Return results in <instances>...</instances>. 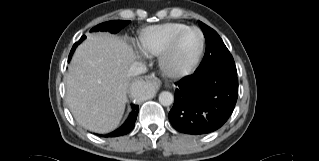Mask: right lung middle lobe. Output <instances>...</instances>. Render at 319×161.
Segmentation results:
<instances>
[{
	"label": "right lung middle lobe",
	"instance_id": "obj_1",
	"mask_svg": "<svg viewBox=\"0 0 319 161\" xmlns=\"http://www.w3.org/2000/svg\"><path fill=\"white\" fill-rule=\"evenodd\" d=\"M130 21H124V20H113L108 21L102 24H99L92 28L91 31H108L110 33H118L123 27H125ZM85 39V36H83L77 43H75L72 47V50L70 52L69 57L71 58L72 53L74 52L76 46L80 44ZM69 58V60H70Z\"/></svg>",
	"mask_w": 319,
	"mask_h": 161
}]
</instances>
